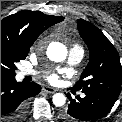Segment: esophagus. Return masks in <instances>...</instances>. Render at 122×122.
Returning <instances> with one entry per match:
<instances>
[{"label":"esophagus","mask_w":122,"mask_h":122,"mask_svg":"<svg viewBox=\"0 0 122 122\" xmlns=\"http://www.w3.org/2000/svg\"><path fill=\"white\" fill-rule=\"evenodd\" d=\"M43 91L50 93V94H54L55 92H57V89L49 87V86H44Z\"/></svg>","instance_id":"1"}]
</instances>
